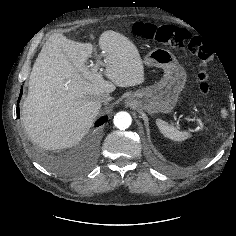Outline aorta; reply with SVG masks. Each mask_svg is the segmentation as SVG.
Masks as SVG:
<instances>
[{
    "instance_id": "aorta-1",
    "label": "aorta",
    "mask_w": 236,
    "mask_h": 236,
    "mask_svg": "<svg viewBox=\"0 0 236 236\" xmlns=\"http://www.w3.org/2000/svg\"><path fill=\"white\" fill-rule=\"evenodd\" d=\"M132 122V118L129 113L125 111L118 112L114 116V125L121 130L127 129Z\"/></svg>"
}]
</instances>
